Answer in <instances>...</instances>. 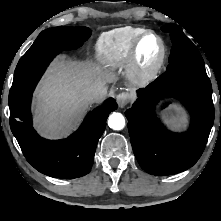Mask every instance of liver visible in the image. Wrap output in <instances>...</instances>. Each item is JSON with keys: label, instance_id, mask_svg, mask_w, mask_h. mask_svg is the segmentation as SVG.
Returning <instances> with one entry per match:
<instances>
[{"label": "liver", "instance_id": "liver-1", "mask_svg": "<svg viewBox=\"0 0 221 221\" xmlns=\"http://www.w3.org/2000/svg\"><path fill=\"white\" fill-rule=\"evenodd\" d=\"M116 80L92 62L56 59L36 89L34 123L39 133L56 139L67 135L88 108L85 91L90 86ZM103 95V96H104Z\"/></svg>", "mask_w": 221, "mask_h": 221}]
</instances>
